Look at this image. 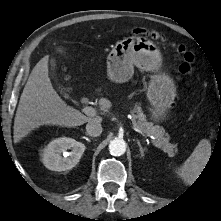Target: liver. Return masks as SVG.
<instances>
[{
	"instance_id": "liver-1",
	"label": "liver",
	"mask_w": 221,
	"mask_h": 221,
	"mask_svg": "<svg viewBox=\"0 0 221 221\" xmlns=\"http://www.w3.org/2000/svg\"><path fill=\"white\" fill-rule=\"evenodd\" d=\"M57 51L63 53L62 48ZM49 56H44L33 68L21 94L14 119V142H19L32 130L43 125L75 127L98 121L66 104L54 90L48 75ZM101 110L108 111L112 104L106 98L99 100Z\"/></svg>"
}]
</instances>
